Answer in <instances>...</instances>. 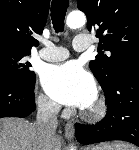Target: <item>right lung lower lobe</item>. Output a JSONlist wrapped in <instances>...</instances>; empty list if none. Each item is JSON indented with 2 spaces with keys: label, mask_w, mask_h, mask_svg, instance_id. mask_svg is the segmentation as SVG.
Here are the masks:
<instances>
[{
  "label": "right lung lower lobe",
  "mask_w": 139,
  "mask_h": 150,
  "mask_svg": "<svg viewBox=\"0 0 139 150\" xmlns=\"http://www.w3.org/2000/svg\"><path fill=\"white\" fill-rule=\"evenodd\" d=\"M34 84L0 79V118L26 117L35 111Z\"/></svg>",
  "instance_id": "right-lung-lower-lobe-1"
}]
</instances>
